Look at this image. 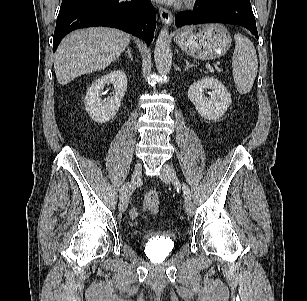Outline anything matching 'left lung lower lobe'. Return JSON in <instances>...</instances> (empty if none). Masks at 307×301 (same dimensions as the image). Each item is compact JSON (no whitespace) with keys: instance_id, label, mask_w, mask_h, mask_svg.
I'll return each mask as SVG.
<instances>
[{"instance_id":"obj_1","label":"left lung lower lobe","mask_w":307,"mask_h":301,"mask_svg":"<svg viewBox=\"0 0 307 301\" xmlns=\"http://www.w3.org/2000/svg\"><path fill=\"white\" fill-rule=\"evenodd\" d=\"M193 12L176 15L177 27L201 23H229L249 29L258 39L256 22L250 0H197Z\"/></svg>"}]
</instances>
